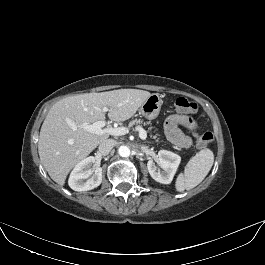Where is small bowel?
<instances>
[{"instance_id": "1", "label": "small bowel", "mask_w": 265, "mask_h": 265, "mask_svg": "<svg viewBox=\"0 0 265 265\" xmlns=\"http://www.w3.org/2000/svg\"><path fill=\"white\" fill-rule=\"evenodd\" d=\"M195 125V120L192 117L183 114H173L165 122V133L169 141L175 146L188 148L191 146L192 140L181 131L180 126L192 129Z\"/></svg>"}]
</instances>
